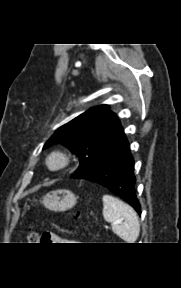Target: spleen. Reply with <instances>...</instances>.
I'll return each mask as SVG.
<instances>
[{"mask_svg":"<svg viewBox=\"0 0 181 288\" xmlns=\"http://www.w3.org/2000/svg\"><path fill=\"white\" fill-rule=\"evenodd\" d=\"M103 217L112 223V230L127 243H134L140 233V225L134 209L111 195H103Z\"/></svg>","mask_w":181,"mask_h":288,"instance_id":"obj_1","label":"spleen"}]
</instances>
